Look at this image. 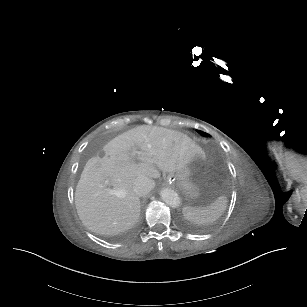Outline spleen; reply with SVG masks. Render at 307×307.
Listing matches in <instances>:
<instances>
[{"instance_id":"spleen-1","label":"spleen","mask_w":307,"mask_h":307,"mask_svg":"<svg viewBox=\"0 0 307 307\" xmlns=\"http://www.w3.org/2000/svg\"><path fill=\"white\" fill-rule=\"evenodd\" d=\"M227 203V197L221 195L206 207H201L197 210L194 207H186L183 210V217L191 223H212L224 214Z\"/></svg>"}]
</instances>
